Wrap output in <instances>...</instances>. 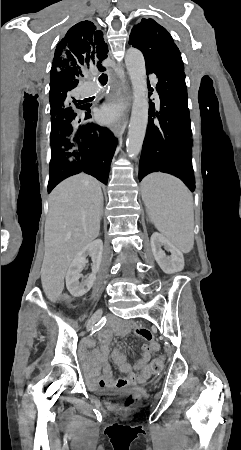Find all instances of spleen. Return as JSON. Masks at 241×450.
Here are the masks:
<instances>
[{
    "label": "spleen",
    "mask_w": 241,
    "mask_h": 450,
    "mask_svg": "<svg viewBox=\"0 0 241 450\" xmlns=\"http://www.w3.org/2000/svg\"><path fill=\"white\" fill-rule=\"evenodd\" d=\"M142 200L155 228L183 254L194 246L193 198L187 186L170 174H149L141 182Z\"/></svg>",
    "instance_id": "obj_1"
}]
</instances>
